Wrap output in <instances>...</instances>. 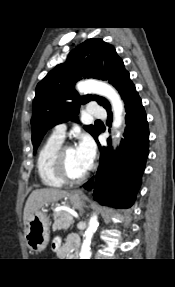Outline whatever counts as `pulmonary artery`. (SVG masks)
Instances as JSON below:
<instances>
[{"instance_id": "obj_1", "label": "pulmonary artery", "mask_w": 175, "mask_h": 287, "mask_svg": "<svg viewBox=\"0 0 175 287\" xmlns=\"http://www.w3.org/2000/svg\"><path fill=\"white\" fill-rule=\"evenodd\" d=\"M87 112L90 116L94 117H104L106 115L105 109L97 104L89 105ZM53 135L63 140L66 135V125L65 124L56 125L53 130Z\"/></svg>"}]
</instances>
